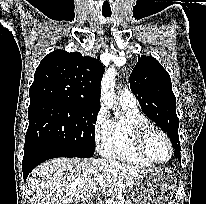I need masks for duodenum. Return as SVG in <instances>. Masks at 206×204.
<instances>
[{"label":"duodenum","instance_id":"obj_1","mask_svg":"<svg viewBox=\"0 0 206 204\" xmlns=\"http://www.w3.org/2000/svg\"><path fill=\"white\" fill-rule=\"evenodd\" d=\"M89 204H99V202L97 200H93Z\"/></svg>","mask_w":206,"mask_h":204}]
</instances>
